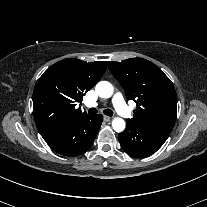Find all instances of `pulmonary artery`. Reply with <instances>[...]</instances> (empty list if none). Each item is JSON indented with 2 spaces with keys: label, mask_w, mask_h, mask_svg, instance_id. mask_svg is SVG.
<instances>
[{
  "label": "pulmonary artery",
  "mask_w": 207,
  "mask_h": 207,
  "mask_svg": "<svg viewBox=\"0 0 207 207\" xmlns=\"http://www.w3.org/2000/svg\"><path fill=\"white\" fill-rule=\"evenodd\" d=\"M111 102H112L115 110L119 114L124 115V116H129L130 115V113L128 111V108H127V106H126V104L123 100V97L120 93H115L112 96ZM86 105L89 106V107H95V106H97V103L88 102Z\"/></svg>",
  "instance_id": "1"
}]
</instances>
